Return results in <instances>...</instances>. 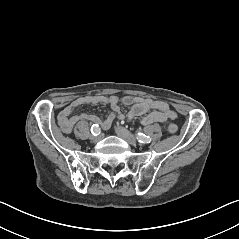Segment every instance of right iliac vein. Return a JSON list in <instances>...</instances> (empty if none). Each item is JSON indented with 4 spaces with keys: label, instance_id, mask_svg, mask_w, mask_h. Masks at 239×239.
<instances>
[{
    "label": "right iliac vein",
    "instance_id": "63e3f726",
    "mask_svg": "<svg viewBox=\"0 0 239 239\" xmlns=\"http://www.w3.org/2000/svg\"><path fill=\"white\" fill-rule=\"evenodd\" d=\"M102 138H103V135H102V134L99 135V136H97V137H95V136H91V137H90V139H91L92 142H94V143L98 142V141L101 140Z\"/></svg>",
    "mask_w": 239,
    "mask_h": 239
}]
</instances>
